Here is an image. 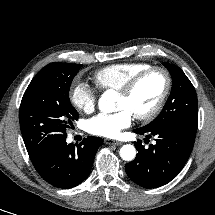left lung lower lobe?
I'll use <instances>...</instances> for the list:
<instances>
[{"label": "left lung lower lobe", "mask_w": 215, "mask_h": 215, "mask_svg": "<svg viewBox=\"0 0 215 215\" xmlns=\"http://www.w3.org/2000/svg\"><path fill=\"white\" fill-rule=\"evenodd\" d=\"M134 132L156 137V144L148 148L140 140L135 142L137 156L125 166L129 178L144 188L163 186L176 177L187 162L196 137V132L175 125L138 128Z\"/></svg>", "instance_id": "1"}]
</instances>
